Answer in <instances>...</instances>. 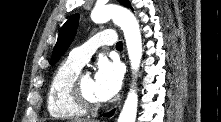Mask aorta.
I'll use <instances>...</instances> for the list:
<instances>
[{"label":"aorta","instance_id":"1","mask_svg":"<svg viewBox=\"0 0 221 122\" xmlns=\"http://www.w3.org/2000/svg\"><path fill=\"white\" fill-rule=\"evenodd\" d=\"M91 19L95 23H104L112 19L121 27L126 40L131 69L134 72L138 71L142 57V40L139 23L133 13L122 6L107 4L96 6L91 13ZM137 106L138 96L132 88L124 102L118 122H135Z\"/></svg>","mask_w":221,"mask_h":122}]
</instances>
